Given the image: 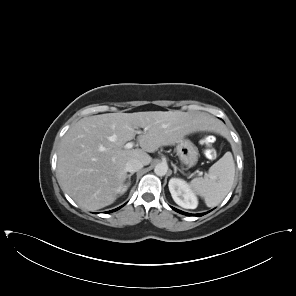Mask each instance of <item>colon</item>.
I'll return each mask as SVG.
<instances>
[{
    "label": "colon",
    "mask_w": 296,
    "mask_h": 296,
    "mask_svg": "<svg viewBox=\"0 0 296 296\" xmlns=\"http://www.w3.org/2000/svg\"><path fill=\"white\" fill-rule=\"evenodd\" d=\"M208 148L206 149V156L208 158H213L216 155L214 148L211 146L210 137H207Z\"/></svg>",
    "instance_id": "obj_1"
}]
</instances>
